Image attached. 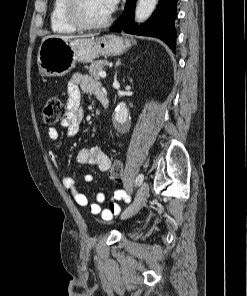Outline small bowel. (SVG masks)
<instances>
[{
    "label": "small bowel",
    "mask_w": 247,
    "mask_h": 296,
    "mask_svg": "<svg viewBox=\"0 0 247 296\" xmlns=\"http://www.w3.org/2000/svg\"><path fill=\"white\" fill-rule=\"evenodd\" d=\"M100 89V84L89 76L76 73L71 77L67 88L68 112L66 118L61 123L66 129L68 137H74L78 133L84 117L83 110L80 106L81 93H93L96 95V92ZM48 136L53 142L59 140V133L56 128H49ZM50 156L54 163L59 166L58 156L55 150L50 152ZM75 163L96 166L101 171H107L111 166L110 158L95 146L81 149L75 157ZM83 180L86 183H92L94 181V176L92 174H86L83 177ZM62 183L78 205L88 207L92 214L100 215L106 220H109L113 215L120 213L121 208L118 204L119 201L130 202V196L124 190L117 189L114 191L108 206L103 207L105 195L102 192L97 193L96 202L89 203L88 198L78 190L72 176L65 174L62 178Z\"/></svg>",
    "instance_id": "1"
}]
</instances>
